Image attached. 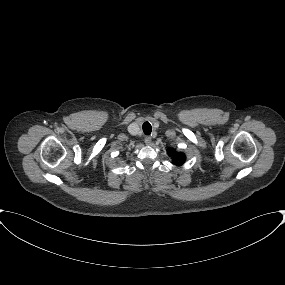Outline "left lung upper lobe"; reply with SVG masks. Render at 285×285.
Segmentation results:
<instances>
[{"label": "left lung upper lobe", "instance_id": "obj_1", "mask_svg": "<svg viewBox=\"0 0 285 285\" xmlns=\"http://www.w3.org/2000/svg\"><path fill=\"white\" fill-rule=\"evenodd\" d=\"M167 152H168V155L172 158L173 164L177 166L182 165L186 160L184 153L176 152L172 148L168 149Z\"/></svg>", "mask_w": 285, "mask_h": 285}]
</instances>
